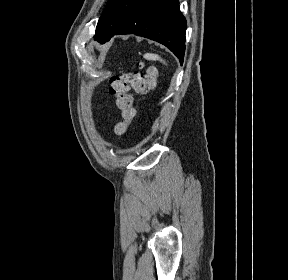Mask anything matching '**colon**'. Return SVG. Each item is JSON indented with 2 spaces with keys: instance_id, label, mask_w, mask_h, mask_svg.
I'll return each mask as SVG.
<instances>
[{
  "instance_id": "colon-1",
  "label": "colon",
  "mask_w": 288,
  "mask_h": 280,
  "mask_svg": "<svg viewBox=\"0 0 288 280\" xmlns=\"http://www.w3.org/2000/svg\"><path fill=\"white\" fill-rule=\"evenodd\" d=\"M157 75V69L150 66L144 72L124 73L111 78L110 93L115 97L116 106L122 117L114 128L116 135H124L136 115L130 89L133 88L139 94L153 91L157 84Z\"/></svg>"
}]
</instances>
